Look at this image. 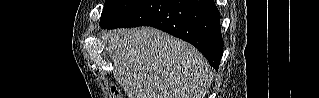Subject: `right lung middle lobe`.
Masks as SVG:
<instances>
[{
    "instance_id": "dd1d6c3e",
    "label": "right lung middle lobe",
    "mask_w": 319,
    "mask_h": 98,
    "mask_svg": "<svg viewBox=\"0 0 319 98\" xmlns=\"http://www.w3.org/2000/svg\"><path fill=\"white\" fill-rule=\"evenodd\" d=\"M145 2L147 0H106L100 18V26L104 28L115 23Z\"/></svg>"
}]
</instances>
